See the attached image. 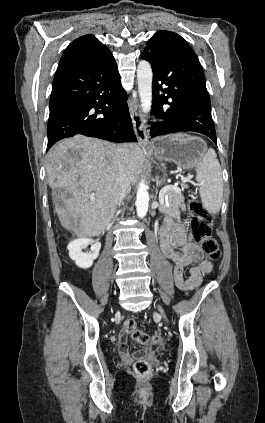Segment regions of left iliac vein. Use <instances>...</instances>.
I'll use <instances>...</instances> for the list:
<instances>
[{"label": "left iliac vein", "mask_w": 265, "mask_h": 423, "mask_svg": "<svg viewBox=\"0 0 265 423\" xmlns=\"http://www.w3.org/2000/svg\"><path fill=\"white\" fill-rule=\"evenodd\" d=\"M159 311L161 312L164 319H166V315L161 307H159Z\"/></svg>", "instance_id": "4c4485c4"}]
</instances>
